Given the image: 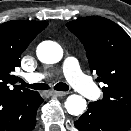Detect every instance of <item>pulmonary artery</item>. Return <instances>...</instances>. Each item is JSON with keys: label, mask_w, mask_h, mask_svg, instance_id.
Segmentation results:
<instances>
[{"label": "pulmonary artery", "mask_w": 131, "mask_h": 131, "mask_svg": "<svg viewBox=\"0 0 131 131\" xmlns=\"http://www.w3.org/2000/svg\"><path fill=\"white\" fill-rule=\"evenodd\" d=\"M63 72L70 84L82 95L95 98L98 95L96 85L81 71L79 63L74 57H67L63 63ZM48 73H32L26 79L38 82L48 77Z\"/></svg>", "instance_id": "pulmonary-artery-1"}]
</instances>
